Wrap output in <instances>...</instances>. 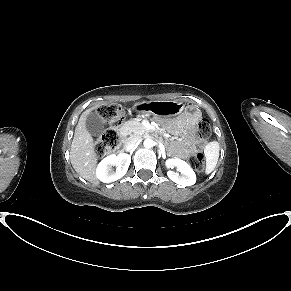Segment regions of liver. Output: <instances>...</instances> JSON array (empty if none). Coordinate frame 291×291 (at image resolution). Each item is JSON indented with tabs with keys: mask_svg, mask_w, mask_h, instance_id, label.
I'll return each mask as SVG.
<instances>
[{
	"mask_svg": "<svg viewBox=\"0 0 291 291\" xmlns=\"http://www.w3.org/2000/svg\"><path fill=\"white\" fill-rule=\"evenodd\" d=\"M89 111H85L76 126L70 149V160L75 171L85 180L97 184V156L94 141L88 132L85 122Z\"/></svg>",
	"mask_w": 291,
	"mask_h": 291,
	"instance_id": "1",
	"label": "liver"
}]
</instances>
